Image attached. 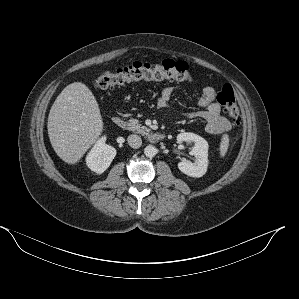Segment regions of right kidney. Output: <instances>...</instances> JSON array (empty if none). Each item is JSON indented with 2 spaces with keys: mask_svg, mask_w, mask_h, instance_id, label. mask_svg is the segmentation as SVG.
I'll return each mask as SVG.
<instances>
[{
  "mask_svg": "<svg viewBox=\"0 0 299 299\" xmlns=\"http://www.w3.org/2000/svg\"><path fill=\"white\" fill-rule=\"evenodd\" d=\"M105 141L106 137L99 139L86 157L87 166L98 174L103 173L116 156V149Z\"/></svg>",
  "mask_w": 299,
  "mask_h": 299,
  "instance_id": "right-kidney-1",
  "label": "right kidney"
}]
</instances>
